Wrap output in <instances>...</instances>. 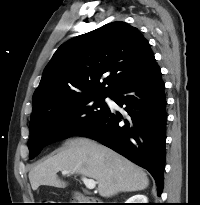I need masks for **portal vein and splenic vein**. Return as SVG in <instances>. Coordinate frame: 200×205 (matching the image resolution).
Wrapping results in <instances>:
<instances>
[{"label":"portal vein and splenic vein","mask_w":200,"mask_h":205,"mask_svg":"<svg viewBox=\"0 0 200 205\" xmlns=\"http://www.w3.org/2000/svg\"><path fill=\"white\" fill-rule=\"evenodd\" d=\"M68 173L69 171H62V174H68ZM82 181L85 184L86 188L89 190H93L96 186V182L93 179L82 177Z\"/></svg>","instance_id":"portal-vein-and-splenic-vein-1"}]
</instances>
